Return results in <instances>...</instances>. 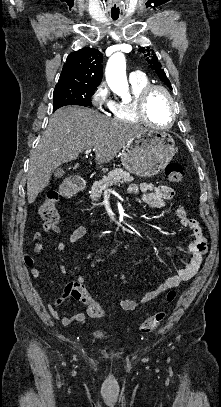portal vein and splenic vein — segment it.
Wrapping results in <instances>:
<instances>
[{"label": "portal vein and splenic vein", "mask_w": 221, "mask_h": 407, "mask_svg": "<svg viewBox=\"0 0 221 407\" xmlns=\"http://www.w3.org/2000/svg\"><path fill=\"white\" fill-rule=\"evenodd\" d=\"M90 152H91V149H87V150L85 151V154L88 155Z\"/></svg>", "instance_id": "portal-vein-and-splenic-vein-1"}]
</instances>
